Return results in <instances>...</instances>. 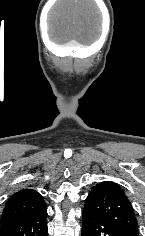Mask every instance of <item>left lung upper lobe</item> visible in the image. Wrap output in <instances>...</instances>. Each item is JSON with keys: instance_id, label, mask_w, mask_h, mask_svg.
<instances>
[{"instance_id": "1", "label": "left lung upper lobe", "mask_w": 145, "mask_h": 236, "mask_svg": "<svg viewBox=\"0 0 145 236\" xmlns=\"http://www.w3.org/2000/svg\"><path fill=\"white\" fill-rule=\"evenodd\" d=\"M84 209L111 223L125 236H138V223L130 201L114 182L95 185L85 199Z\"/></svg>"}]
</instances>
